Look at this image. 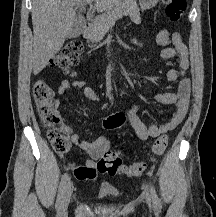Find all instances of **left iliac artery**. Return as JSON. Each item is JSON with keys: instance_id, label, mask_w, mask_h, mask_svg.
<instances>
[{"instance_id": "44dca946", "label": "left iliac artery", "mask_w": 216, "mask_h": 217, "mask_svg": "<svg viewBox=\"0 0 216 217\" xmlns=\"http://www.w3.org/2000/svg\"><path fill=\"white\" fill-rule=\"evenodd\" d=\"M151 196L155 206L159 205V198L153 186H151Z\"/></svg>"}]
</instances>
